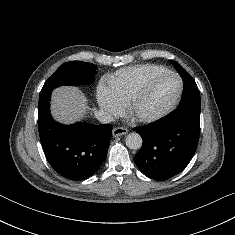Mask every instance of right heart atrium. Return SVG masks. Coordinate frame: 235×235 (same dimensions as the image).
I'll return each mask as SVG.
<instances>
[{
  "label": "right heart atrium",
  "mask_w": 235,
  "mask_h": 235,
  "mask_svg": "<svg viewBox=\"0 0 235 235\" xmlns=\"http://www.w3.org/2000/svg\"><path fill=\"white\" fill-rule=\"evenodd\" d=\"M97 100L99 105L111 115H117L121 110V105L111 96L104 86L98 88Z\"/></svg>",
  "instance_id": "right-heart-atrium-1"
}]
</instances>
